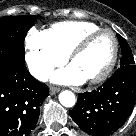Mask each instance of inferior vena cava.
<instances>
[{"instance_id": "602c4592", "label": "inferior vena cava", "mask_w": 136, "mask_h": 136, "mask_svg": "<svg viewBox=\"0 0 136 136\" xmlns=\"http://www.w3.org/2000/svg\"><path fill=\"white\" fill-rule=\"evenodd\" d=\"M31 74L40 81H46L48 79L49 70L39 67L30 69Z\"/></svg>"}]
</instances>
